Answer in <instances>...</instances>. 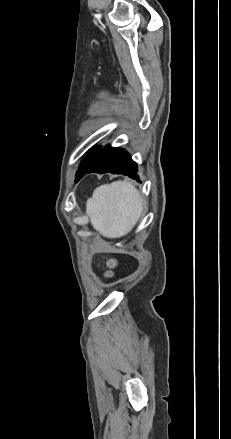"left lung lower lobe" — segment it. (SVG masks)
<instances>
[{
  "label": "left lung lower lobe",
  "instance_id": "left-lung-lower-lobe-1",
  "mask_svg": "<svg viewBox=\"0 0 231 439\" xmlns=\"http://www.w3.org/2000/svg\"><path fill=\"white\" fill-rule=\"evenodd\" d=\"M137 171V165L132 161L128 152L107 145L99 151L95 161L79 176L77 181L88 173L122 174L139 180Z\"/></svg>",
  "mask_w": 231,
  "mask_h": 439
}]
</instances>
